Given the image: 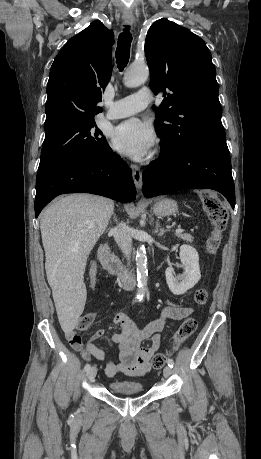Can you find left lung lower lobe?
I'll return each mask as SVG.
<instances>
[{
  "mask_svg": "<svg viewBox=\"0 0 261 459\" xmlns=\"http://www.w3.org/2000/svg\"><path fill=\"white\" fill-rule=\"evenodd\" d=\"M143 194L165 195L189 188L222 193L232 208L235 189L226 138L198 141L182 151L161 145L159 158L143 170Z\"/></svg>",
  "mask_w": 261,
  "mask_h": 459,
  "instance_id": "obj_1",
  "label": "left lung lower lobe"
}]
</instances>
